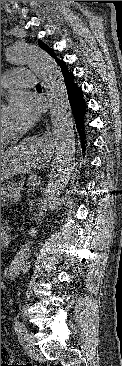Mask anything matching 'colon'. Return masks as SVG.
I'll list each match as a JSON object with an SVG mask.
<instances>
[{
	"instance_id": "obj_1",
	"label": "colon",
	"mask_w": 122,
	"mask_h": 366,
	"mask_svg": "<svg viewBox=\"0 0 122 366\" xmlns=\"http://www.w3.org/2000/svg\"><path fill=\"white\" fill-rule=\"evenodd\" d=\"M9 352L7 350V348L1 344V356H8Z\"/></svg>"
}]
</instances>
